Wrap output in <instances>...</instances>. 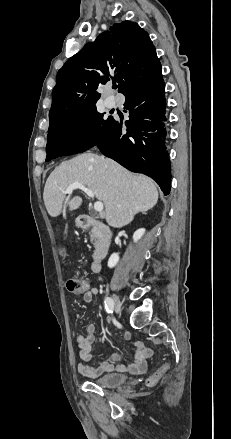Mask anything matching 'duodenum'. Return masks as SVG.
Listing matches in <instances>:
<instances>
[{
  "label": "duodenum",
  "mask_w": 231,
  "mask_h": 439,
  "mask_svg": "<svg viewBox=\"0 0 231 439\" xmlns=\"http://www.w3.org/2000/svg\"><path fill=\"white\" fill-rule=\"evenodd\" d=\"M78 222L82 228H91L98 232L101 236V242L95 249L91 261V269L94 272H99L101 270L102 260L108 254L112 234L103 222L89 215L79 216Z\"/></svg>",
  "instance_id": "410a0bca"
}]
</instances>
